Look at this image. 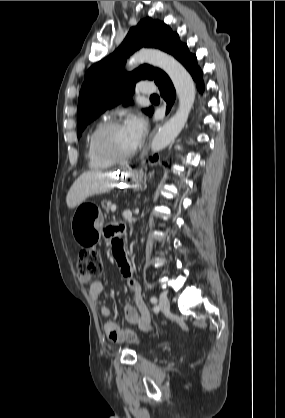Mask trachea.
Masks as SVG:
<instances>
[{
  "mask_svg": "<svg viewBox=\"0 0 285 418\" xmlns=\"http://www.w3.org/2000/svg\"><path fill=\"white\" fill-rule=\"evenodd\" d=\"M151 98H158V96L157 95H152Z\"/></svg>",
  "mask_w": 285,
  "mask_h": 418,
  "instance_id": "1",
  "label": "trachea"
}]
</instances>
